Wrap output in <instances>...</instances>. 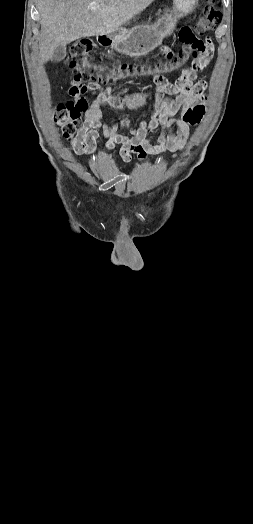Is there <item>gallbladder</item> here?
Returning a JSON list of instances; mask_svg holds the SVG:
<instances>
[{"label": "gallbladder", "instance_id": "obj_1", "mask_svg": "<svg viewBox=\"0 0 253 524\" xmlns=\"http://www.w3.org/2000/svg\"><path fill=\"white\" fill-rule=\"evenodd\" d=\"M66 56V46L64 45H61L59 47H57V49L55 50L52 58H51V61L54 62V63H58L60 61H62Z\"/></svg>", "mask_w": 253, "mask_h": 524}]
</instances>
